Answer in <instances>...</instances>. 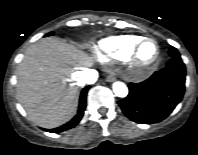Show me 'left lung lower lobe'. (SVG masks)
Returning a JSON list of instances; mask_svg holds the SVG:
<instances>
[{
    "instance_id": "0a47b994",
    "label": "left lung lower lobe",
    "mask_w": 198,
    "mask_h": 155,
    "mask_svg": "<svg viewBox=\"0 0 198 155\" xmlns=\"http://www.w3.org/2000/svg\"><path fill=\"white\" fill-rule=\"evenodd\" d=\"M185 76L181 58H172L162 72H155L142 83H130L128 96L119 101L123 113L137 123L152 124L162 121L181 101Z\"/></svg>"
}]
</instances>
